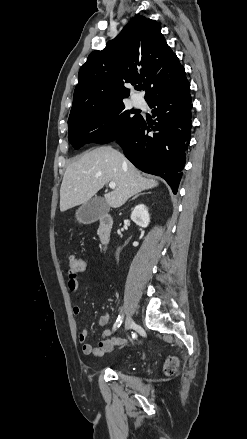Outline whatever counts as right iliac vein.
I'll list each match as a JSON object with an SVG mask.
<instances>
[{"label": "right iliac vein", "mask_w": 247, "mask_h": 439, "mask_svg": "<svg viewBox=\"0 0 247 439\" xmlns=\"http://www.w3.org/2000/svg\"><path fill=\"white\" fill-rule=\"evenodd\" d=\"M133 323V319L130 315H128L125 321V330H129L132 327Z\"/></svg>", "instance_id": "obj_1"}]
</instances>
